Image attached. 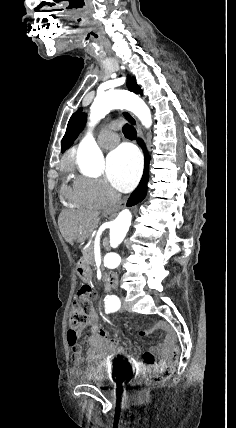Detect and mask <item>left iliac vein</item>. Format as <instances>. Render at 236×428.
<instances>
[{
  "mask_svg": "<svg viewBox=\"0 0 236 428\" xmlns=\"http://www.w3.org/2000/svg\"><path fill=\"white\" fill-rule=\"evenodd\" d=\"M121 301H124V296H121Z\"/></svg>",
  "mask_w": 236,
  "mask_h": 428,
  "instance_id": "obj_1",
  "label": "left iliac vein"
}]
</instances>
